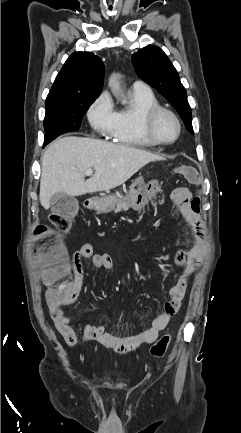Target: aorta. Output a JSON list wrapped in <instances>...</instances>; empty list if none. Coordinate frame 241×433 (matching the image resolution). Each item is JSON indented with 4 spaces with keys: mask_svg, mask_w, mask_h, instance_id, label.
I'll use <instances>...</instances> for the list:
<instances>
[{
    "mask_svg": "<svg viewBox=\"0 0 241 433\" xmlns=\"http://www.w3.org/2000/svg\"><path fill=\"white\" fill-rule=\"evenodd\" d=\"M109 86L111 87L114 94H119L120 92V85L116 78V76H112L109 80Z\"/></svg>",
    "mask_w": 241,
    "mask_h": 433,
    "instance_id": "1",
    "label": "aorta"
}]
</instances>
